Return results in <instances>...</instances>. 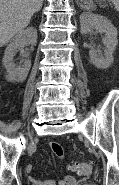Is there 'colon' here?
<instances>
[{
  "instance_id": "colon-1",
  "label": "colon",
  "mask_w": 119,
  "mask_h": 185,
  "mask_svg": "<svg viewBox=\"0 0 119 185\" xmlns=\"http://www.w3.org/2000/svg\"><path fill=\"white\" fill-rule=\"evenodd\" d=\"M68 168L83 177L89 176L92 172V166L87 162H72L68 165Z\"/></svg>"
}]
</instances>
